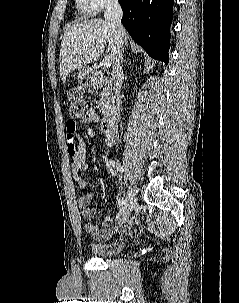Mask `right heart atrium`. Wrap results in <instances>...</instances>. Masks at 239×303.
Returning a JSON list of instances; mask_svg holds the SVG:
<instances>
[{"label": "right heart atrium", "mask_w": 239, "mask_h": 303, "mask_svg": "<svg viewBox=\"0 0 239 303\" xmlns=\"http://www.w3.org/2000/svg\"><path fill=\"white\" fill-rule=\"evenodd\" d=\"M78 8L87 15H94L104 9L113 7L118 0H76Z\"/></svg>", "instance_id": "right-heart-atrium-1"}]
</instances>
